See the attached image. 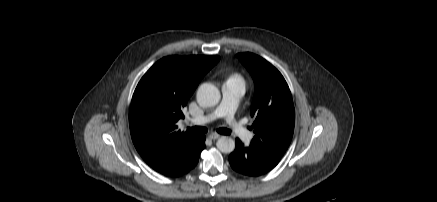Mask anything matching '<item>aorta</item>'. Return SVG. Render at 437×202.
Returning a JSON list of instances; mask_svg holds the SVG:
<instances>
[{
  "label": "aorta",
  "mask_w": 437,
  "mask_h": 202,
  "mask_svg": "<svg viewBox=\"0 0 437 202\" xmlns=\"http://www.w3.org/2000/svg\"><path fill=\"white\" fill-rule=\"evenodd\" d=\"M219 89L211 83H203L197 91V101L203 107H213L220 101ZM217 148L222 153H231L235 149V142L232 138L223 136L218 139Z\"/></svg>",
  "instance_id": "1"
}]
</instances>
